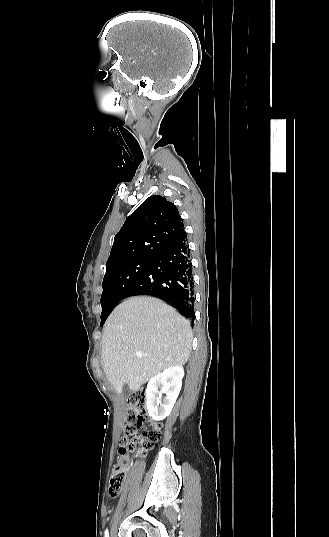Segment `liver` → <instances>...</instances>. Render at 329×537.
Listing matches in <instances>:
<instances>
[{"label":"liver","instance_id":"obj_1","mask_svg":"<svg viewBox=\"0 0 329 537\" xmlns=\"http://www.w3.org/2000/svg\"><path fill=\"white\" fill-rule=\"evenodd\" d=\"M192 338L190 323L174 308L154 297H131L114 309L104 326L101 364L118 393L124 384L137 391L162 370L184 365Z\"/></svg>","mask_w":329,"mask_h":537}]
</instances>
